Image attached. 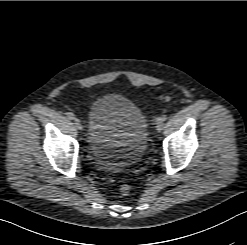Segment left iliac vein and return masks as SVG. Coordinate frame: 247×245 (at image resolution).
Returning a JSON list of instances; mask_svg holds the SVG:
<instances>
[{"label": "left iliac vein", "mask_w": 247, "mask_h": 245, "mask_svg": "<svg viewBox=\"0 0 247 245\" xmlns=\"http://www.w3.org/2000/svg\"><path fill=\"white\" fill-rule=\"evenodd\" d=\"M163 129V123L158 121L156 122V130L160 132Z\"/></svg>", "instance_id": "1"}]
</instances>
